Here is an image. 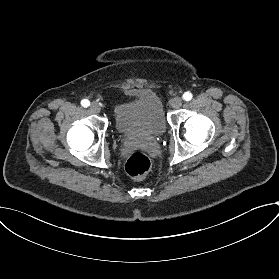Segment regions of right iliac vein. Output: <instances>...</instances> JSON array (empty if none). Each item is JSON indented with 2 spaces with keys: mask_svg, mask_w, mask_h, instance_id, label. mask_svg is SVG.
Masks as SVG:
<instances>
[{
  "mask_svg": "<svg viewBox=\"0 0 279 279\" xmlns=\"http://www.w3.org/2000/svg\"><path fill=\"white\" fill-rule=\"evenodd\" d=\"M100 110H101V105H100V103H98V102H93L91 105H90V111L92 112V113H99L100 112Z\"/></svg>",
  "mask_w": 279,
  "mask_h": 279,
  "instance_id": "1",
  "label": "right iliac vein"
}]
</instances>
